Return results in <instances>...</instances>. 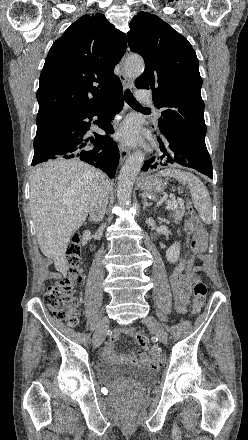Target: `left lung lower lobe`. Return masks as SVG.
<instances>
[{
    "instance_id": "obj_1",
    "label": "left lung lower lobe",
    "mask_w": 248,
    "mask_h": 440,
    "mask_svg": "<svg viewBox=\"0 0 248 440\" xmlns=\"http://www.w3.org/2000/svg\"><path fill=\"white\" fill-rule=\"evenodd\" d=\"M163 155L159 163L152 164L154 158L145 162L142 170L156 168L157 165L178 164L196 169L213 178L212 163L207 151L205 140H197L177 131L163 130L159 138Z\"/></svg>"
}]
</instances>
